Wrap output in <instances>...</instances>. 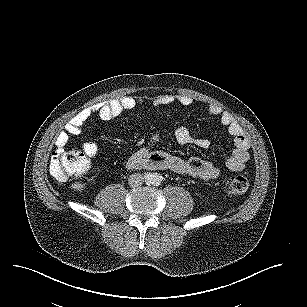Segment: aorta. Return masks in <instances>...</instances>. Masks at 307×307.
I'll return each instance as SVG.
<instances>
[{
    "instance_id": "1",
    "label": "aorta",
    "mask_w": 307,
    "mask_h": 307,
    "mask_svg": "<svg viewBox=\"0 0 307 307\" xmlns=\"http://www.w3.org/2000/svg\"><path fill=\"white\" fill-rule=\"evenodd\" d=\"M151 178L154 179V180H152V183L156 184V185L157 184L159 185L162 181L161 176H159L157 174L152 175Z\"/></svg>"
}]
</instances>
